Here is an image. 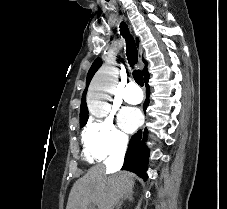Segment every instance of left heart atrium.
<instances>
[{
  "mask_svg": "<svg viewBox=\"0 0 227 209\" xmlns=\"http://www.w3.org/2000/svg\"><path fill=\"white\" fill-rule=\"evenodd\" d=\"M118 121L123 130L133 132L140 124L141 113L135 107H123L118 115Z\"/></svg>",
  "mask_w": 227,
  "mask_h": 209,
  "instance_id": "obj_1",
  "label": "left heart atrium"
}]
</instances>
